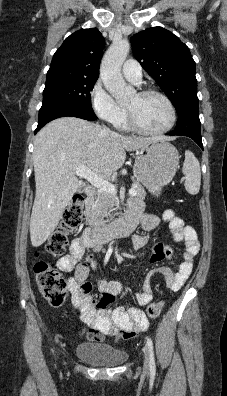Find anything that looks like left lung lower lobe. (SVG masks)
Returning <instances> with one entry per match:
<instances>
[{
  "label": "left lung lower lobe",
  "mask_w": 227,
  "mask_h": 396,
  "mask_svg": "<svg viewBox=\"0 0 227 396\" xmlns=\"http://www.w3.org/2000/svg\"><path fill=\"white\" fill-rule=\"evenodd\" d=\"M166 135H182L192 138L202 149L200 132L199 104L185 106L178 113V122L175 129Z\"/></svg>",
  "instance_id": "1"
}]
</instances>
